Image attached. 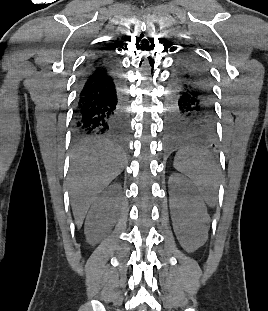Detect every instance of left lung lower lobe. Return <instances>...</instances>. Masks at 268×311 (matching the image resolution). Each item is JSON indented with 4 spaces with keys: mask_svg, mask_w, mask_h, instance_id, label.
I'll list each match as a JSON object with an SVG mask.
<instances>
[{
    "mask_svg": "<svg viewBox=\"0 0 268 311\" xmlns=\"http://www.w3.org/2000/svg\"><path fill=\"white\" fill-rule=\"evenodd\" d=\"M167 141H217L210 73L194 54L178 57L170 78Z\"/></svg>",
    "mask_w": 268,
    "mask_h": 311,
    "instance_id": "1",
    "label": "left lung lower lobe"
}]
</instances>
